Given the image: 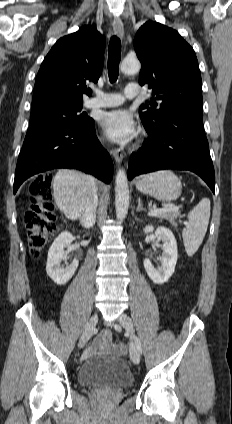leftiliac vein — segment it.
I'll return each instance as SVG.
<instances>
[{"label": "left iliac vein", "instance_id": "obj_1", "mask_svg": "<svg viewBox=\"0 0 232 424\" xmlns=\"http://www.w3.org/2000/svg\"><path fill=\"white\" fill-rule=\"evenodd\" d=\"M118 322L126 330L128 335L133 339L134 338V326L131 318L126 314H121L118 318ZM130 358L133 363L138 364L140 362V354L137 350V347L134 344H131L130 347Z\"/></svg>", "mask_w": 232, "mask_h": 424}]
</instances>
